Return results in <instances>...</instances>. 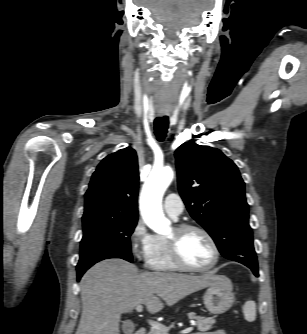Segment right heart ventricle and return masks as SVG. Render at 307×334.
<instances>
[{
    "label": "right heart ventricle",
    "mask_w": 307,
    "mask_h": 334,
    "mask_svg": "<svg viewBox=\"0 0 307 334\" xmlns=\"http://www.w3.org/2000/svg\"><path fill=\"white\" fill-rule=\"evenodd\" d=\"M147 266L156 271H176L175 265L169 254L167 242L161 236H155L154 247L147 259Z\"/></svg>",
    "instance_id": "obj_1"
}]
</instances>
